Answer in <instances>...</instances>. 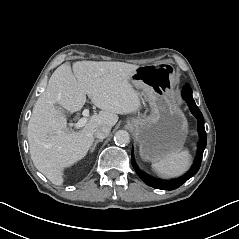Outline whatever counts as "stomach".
<instances>
[{
  "instance_id": "obj_1",
  "label": "stomach",
  "mask_w": 239,
  "mask_h": 239,
  "mask_svg": "<svg viewBox=\"0 0 239 239\" xmlns=\"http://www.w3.org/2000/svg\"><path fill=\"white\" fill-rule=\"evenodd\" d=\"M149 68H139L131 80L146 92L152 106L151 115L129 118L127 125L139 145L141 158L153 163L181 151L187 122L178 108L180 102L170 92L173 76L169 72ZM150 89L154 91L153 96L149 95Z\"/></svg>"
}]
</instances>
